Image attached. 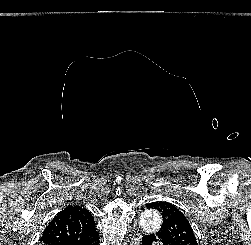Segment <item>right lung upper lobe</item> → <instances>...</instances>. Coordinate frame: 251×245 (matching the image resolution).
<instances>
[{
  "mask_svg": "<svg viewBox=\"0 0 251 245\" xmlns=\"http://www.w3.org/2000/svg\"><path fill=\"white\" fill-rule=\"evenodd\" d=\"M91 213L79 206H68L59 212L41 237L43 245H58L70 240L87 239L96 234Z\"/></svg>",
  "mask_w": 251,
  "mask_h": 245,
  "instance_id": "cb5924a9",
  "label": "right lung upper lobe"
}]
</instances>
